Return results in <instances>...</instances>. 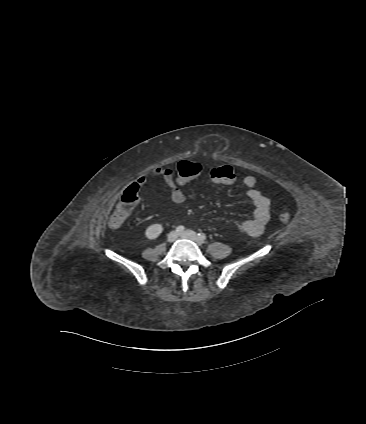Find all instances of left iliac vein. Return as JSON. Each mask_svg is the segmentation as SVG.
I'll return each mask as SVG.
<instances>
[{
    "label": "left iliac vein",
    "mask_w": 366,
    "mask_h": 424,
    "mask_svg": "<svg viewBox=\"0 0 366 424\" xmlns=\"http://www.w3.org/2000/svg\"><path fill=\"white\" fill-rule=\"evenodd\" d=\"M179 236L185 239H190L194 241L197 245H202L203 243L199 236L192 230L183 231L179 234Z\"/></svg>",
    "instance_id": "obj_1"
}]
</instances>
